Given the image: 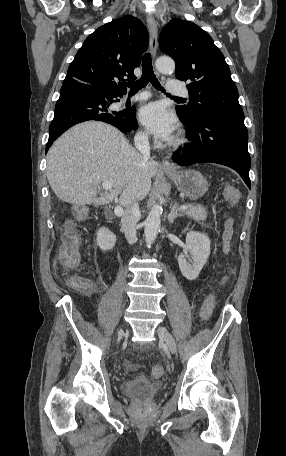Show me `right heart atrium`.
Segmentation results:
<instances>
[{
	"label": "right heart atrium",
	"mask_w": 286,
	"mask_h": 456,
	"mask_svg": "<svg viewBox=\"0 0 286 456\" xmlns=\"http://www.w3.org/2000/svg\"><path fill=\"white\" fill-rule=\"evenodd\" d=\"M139 139H140V140H146V139H147L146 133H144V132L141 131V132L139 133Z\"/></svg>",
	"instance_id": "1"
}]
</instances>
